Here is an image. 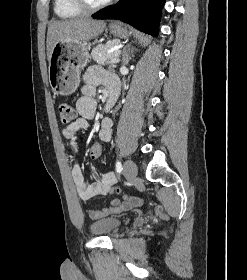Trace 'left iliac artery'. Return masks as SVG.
Wrapping results in <instances>:
<instances>
[{
  "mask_svg": "<svg viewBox=\"0 0 247 280\" xmlns=\"http://www.w3.org/2000/svg\"><path fill=\"white\" fill-rule=\"evenodd\" d=\"M122 164H121V162L120 161H117L116 162V171H117V173H121V171H122Z\"/></svg>",
  "mask_w": 247,
  "mask_h": 280,
  "instance_id": "44dca946",
  "label": "left iliac artery"
}]
</instances>
